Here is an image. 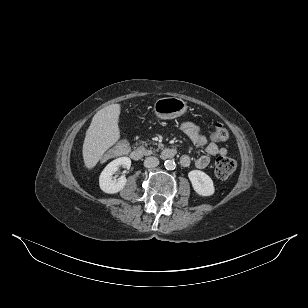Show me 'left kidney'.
Returning <instances> with one entry per match:
<instances>
[{"mask_svg": "<svg viewBox=\"0 0 308 308\" xmlns=\"http://www.w3.org/2000/svg\"><path fill=\"white\" fill-rule=\"evenodd\" d=\"M189 180L195 192L203 197L214 194L215 189L212 179L203 171L192 170L188 173Z\"/></svg>", "mask_w": 308, "mask_h": 308, "instance_id": "obj_1", "label": "left kidney"}]
</instances>
